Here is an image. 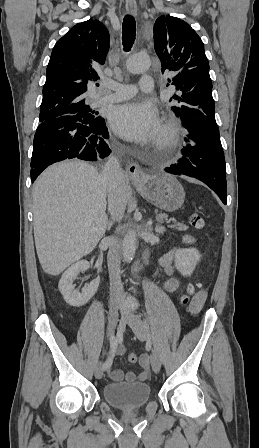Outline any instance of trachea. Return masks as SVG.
<instances>
[{
  "label": "trachea",
  "mask_w": 259,
  "mask_h": 448,
  "mask_svg": "<svg viewBox=\"0 0 259 448\" xmlns=\"http://www.w3.org/2000/svg\"><path fill=\"white\" fill-rule=\"evenodd\" d=\"M136 25L132 16L126 15L122 25V41L124 51H129L135 41Z\"/></svg>",
  "instance_id": "1"
}]
</instances>
